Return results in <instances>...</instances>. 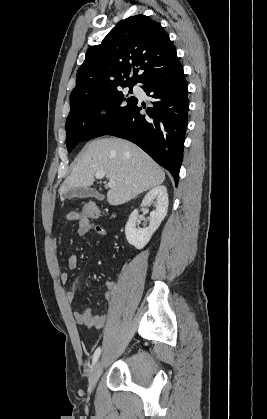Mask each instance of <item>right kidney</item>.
<instances>
[{"instance_id":"right-kidney-1","label":"right kidney","mask_w":267,"mask_h":419,"mask_svg":"<svg viewBox=\"0 0 267 419\" xmlns=\"http://www.w3.org/2000/svg\"><path fill=\"white\" fill-rule=\"evenodd\" d=\"M156 200V210L150 213V223L146 228H137L138 210H134L125 226V235L129 244L142 249L151 239L165 218L168 210V194L165 186L152 188L143 198L141 207L149 206Z\"/></svg>"}]
</instances>
